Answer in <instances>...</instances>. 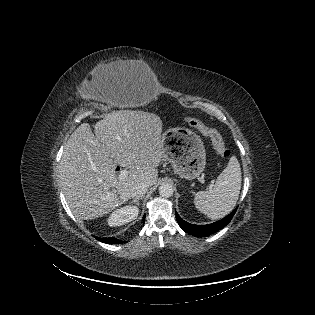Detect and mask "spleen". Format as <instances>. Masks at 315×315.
Instances as JSON below:
<instances>
[{
    "mask_svg": "<svg viewBox=\"0 0 315 315\" xmlns=\"http://www.w3.org/2000/svg\"><path fill=\"white\" fill-rule=\"evenodd\" d=\"M241 168L235 156L217 177L214 188L199 191L194 198L195 207L210 219H220L235 207L241 188Z\"/></svg>",
    "mask_w": 315,
    "mask_h": 315,
    "instance_id": "spleen-1",
    "label": "spleen"
}]
</instances>
